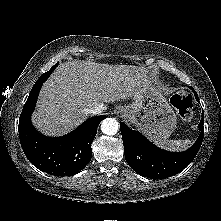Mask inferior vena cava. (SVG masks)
Listing matches in <instances>:
<instances>
[{
	"label": "inferior vena cava",
	"instance_id": "602c4592",
	"mask_svg": "<svg viewBox=\"0 0 221 221\" xmlns=\"http://www.w3.org/2000/svg\"><path fill=\"white\" fill-rule=\"evenodd\" d=\"M104 111V106L102 104H95L91 105L90 107L86 108V112L89 114H100Z\"/></svg>",
	"mask_w": 221,
	"mask_h": 221
}]
</instances>
